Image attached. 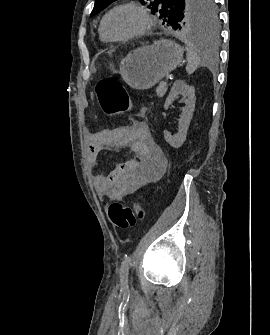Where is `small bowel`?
<instances>
[{
	"mask_svg": "<svg viewBox=\"0 0 270 335\" xmlns=\"http://www.w3.org/2000/svg\"><path fill=\"white\" fill-rule=\"evenodd\" d=\"M108 136L116 139L114 144ZM128 146L134 158L118 164L112 171L99 174L94 179L97 191L111 199L122 200L134 194L143 185L157 180L167 167L163 151L155 143L149 127L144 122L122 126L109 135L91 133L88 138L89 163L96 166L100 152L107 146Z\"/></svg>",
	"mask_w": 270,
	"mask_h": 335,
	"instance_id": "c3829d8e",
	"label": "small bowel"
}]
</instances>
